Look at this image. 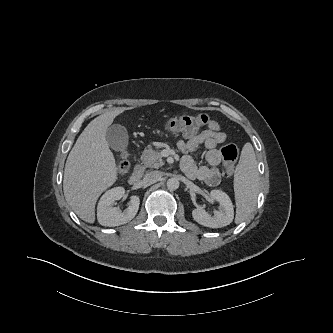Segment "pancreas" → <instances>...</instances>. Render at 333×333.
I'll return each mask as SVG.
<instances>
[{"label":"pancreas","mask_w":333,"mask_h":333,"mask_svg":"<svg viewBox=\"0 0 333 333\" xmlns=\"http://www.w3.org/2000/svg\"><path fill=\"white\" fill-rule=\"evenodd\" d=\"M142 161L145 167L159 168L164 162L158 150L145 149L142 153Z\"/></svg>","instance_id":"obj_1"}]
</instances>
